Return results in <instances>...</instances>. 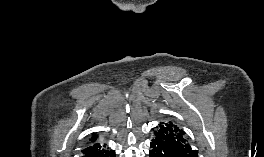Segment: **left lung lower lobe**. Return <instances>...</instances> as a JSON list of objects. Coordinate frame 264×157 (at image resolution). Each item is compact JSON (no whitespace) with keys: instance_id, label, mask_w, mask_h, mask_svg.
Wrapping results in <instances>:
<instances>
[{"instance_id":"obj_1","label":"left lung lower lobe","mask_w":264,"mask_h":157,"mask_svg":"<svg viewBox=\"0 0 264 157\" xmlns=\"http://www.w3.org/2000/svg\"><path fill=\"white\" fill-rule=\"evenodd\" d=\"M150 148L149 157H183L174 146L160 139H152Z\"/></svg>"}]
</instances>
